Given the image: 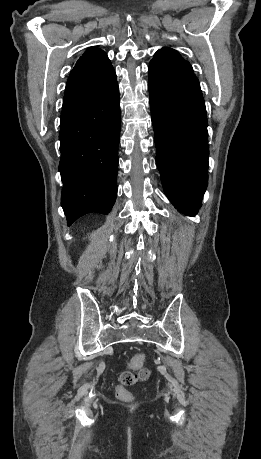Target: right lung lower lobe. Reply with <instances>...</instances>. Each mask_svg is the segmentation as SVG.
<instances>
[{"label":"right lung lower lobe","instance_id":"1","mask_svg":"<svg viewBox=\"0 0 261 459\" xmlns=\"http://www.w3.org/2000/svg\"><path fill=\"white\" fill-rule=\"evenodd\" d=\"M120 138L116 82L93 101L61 115V205L70 226L79 217L108 214L117 195Z\"/></svg>","mask_w":261,"mask_h":459}]
</instances>
